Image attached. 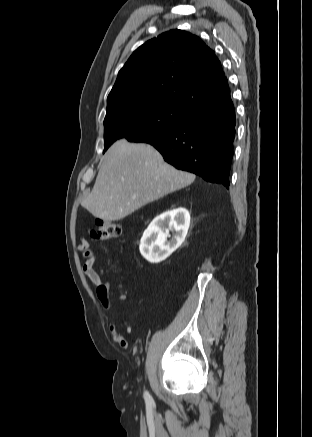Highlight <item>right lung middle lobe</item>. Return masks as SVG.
<instances>
[{"mask_svg":"<svg viewBox=\"0 0 312 437\" xmlns=\"http://www.w3.org/2000/svg\"><path fill=\"white\" fill-rule=\"evenodd\" d=\"M191 111L162 102L131 103L106 114L104 152L119 138L144 142L180 126Z\"/></svg>","mask_w":312,"mask_h":437,"instance_id":"1","label":"right lung middle lobe"}]
</instances>
